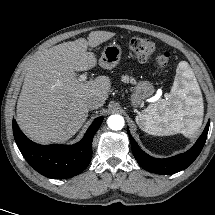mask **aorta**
Segmentation results:
<instances>
[{"instance_id": "1", "label": "aorta", "mask_w": 215, "mask_h": 215, "mask_svg": "<svg viewBox=\"0 0 215 215\" xmlns=\"http://www.w3.org/2000/svg\"><path fill=\"white\" fill-rule=\"evenodd\" d=\"M107 124L112 130H121L124 126V118L121 115H111L107 120Z\"/></svg>"}]
</instances>
